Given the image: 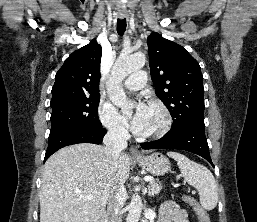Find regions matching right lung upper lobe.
<instances>
[{
  "label": "right lung upper lobe",
  "mask_w": 257,
  "mask_h": 222,
  "mask_svg": "<svg viewBox=\"0 0 257 222\" xmlns=\"http://www.w3.org/2000/svg\"><path fill=\"white\" fill-rule=\"evenodd\" d=\"M101 55V45L95 39L74 51L56 73L51 101L100 95Z\"/></svg>",
  "instance_id": "right-lung-upper-lobe-1"
}]
</instances>
